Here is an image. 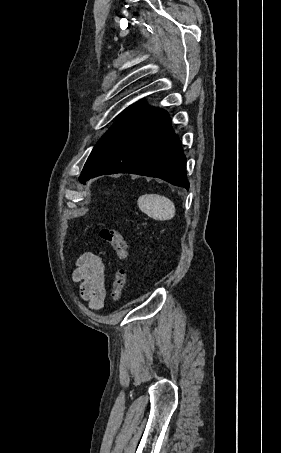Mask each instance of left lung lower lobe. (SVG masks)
I'll return each mask as SVG.
<instances>
[{"instance_id":"1","label":"left lung lower lobe","mask_w":281,"mask_h":453,"mask_svg":"<svg viewBox=\"0 0 281 453\" xmlns=\"http://www.w3.org/2000/svg\"><path fill=\"white\" fill-rule=\"evenodd\" d=\"M186 157L168 114L141 103L84 166L81 183L103 174L133 173L189 188Z\"/></svg>"}]
</instances>
